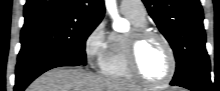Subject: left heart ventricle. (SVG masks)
I'll use <instances>...</instances> for the list:
<instances>
[{"label":"left heart ventricle","mask_w":220,"mask_h":91,"mask_svg":"<svg viewBox=\"0 0 220 91\" xmlns=\"http://www.w3.org/2000/svg\"><path fill=\"white\" fill-rule=\"evenodd\" d=\"M139 68L151 81L164 79L170 70V58L164 44L157 38L146 40L139 48Z\"/></svg>","instance_id":"b2bd125f"}]
</instances>
